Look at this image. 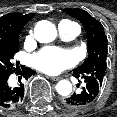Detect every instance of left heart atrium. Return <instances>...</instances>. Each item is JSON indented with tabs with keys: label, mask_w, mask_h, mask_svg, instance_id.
I'll use <instances>...</instances> for the list:
<instances>
[{
	"label": "left heart atrium",
	"mask_w": 117,
	"mask_h": 117,
	"mask_svg": "<svg viewBox=\"0 0 117 117\" xmlns=\"http://www.w3.org/2000/svg\"><path fill=\"white\" fill-rule=\"evenodd\" d=\"M74 62L72 52L57 47L44 48L32 57V65L47 74H58Z\"/></svg>",
	"instance_id": "1"
}]
</instances>
